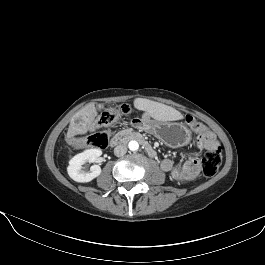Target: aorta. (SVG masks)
<instances>
[{"label": "aorta", "mask_w": 265, "mask_h": 265, "mask_svg": "<svg viewBox=\"0 0 265 265\" xmlns=\"http://www.w3.org/2000/svg\"><path fill=\"white\" fill-rule=\"evenodd\" d=\"M128 148L131 151H137L139 149V143L135 140H132L128 143Z\"/></svg>", "instance_id": "obj_1"}]
</instances>
